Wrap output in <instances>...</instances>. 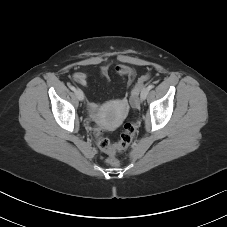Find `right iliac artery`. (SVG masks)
<instances>
[{
    "label": "right iliac artery",
    "instance_id": "right-iliac-artery-1",
    "mask_svg": "<svg viewBox=\"0 0 227 227\" xmlns=\"http://www.w3.org/2000/svg\"><path fill=\"white\" fill-rule=\"evenodd\" d=\"M70 89H71L72 91H75V90H76V88H75L74 86H72V85H70Z\"/></svg>",
    "mask_w": 227,
    "mask_h": 227
}]
</instances>
